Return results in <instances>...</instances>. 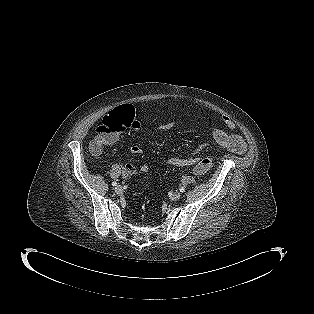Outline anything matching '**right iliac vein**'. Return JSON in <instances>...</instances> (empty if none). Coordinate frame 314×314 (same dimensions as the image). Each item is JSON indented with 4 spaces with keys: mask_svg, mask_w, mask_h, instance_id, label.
<instances>
[{
    "mask_svg": "<svg viewBox=\"0 0 314 314\" xmlns=\"http://www.w3.org/2000/svg\"><path fill=\"white\" fill-rule=\"evenodd\" d=\"M122 191H123V188H122L121 185H117V186L115 187V192H116L117 194L122 193Z\"/></svg>",
    "mask_w": 314,
    "mask_h": 314,
    "instance_id": "63e3f726",
    "label": "right iliac vein"
}]
</instances>
